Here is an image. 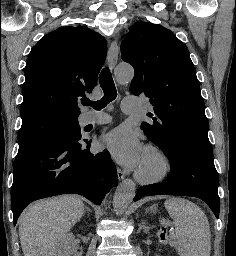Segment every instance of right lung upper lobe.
Returning <instances> with one entry per match:
<instances>
[{"label": "right lung upper lobe", "mask_w": 236, "mask_h": 256, "mask_svg": "<svg viewBox=\"0 0 236 256\" xmlns=\"http://www.w3.org/2000/svg\"><path fill=\"white\" fill-rule=\"evenodd\" d=\"M106 46L104 37L84 26L60 27L45 35L26 63L22 119L44 111L77 118L78 97L92 93Z\"/></svg>", "instance_id": "obj_1"}]
</instances>
